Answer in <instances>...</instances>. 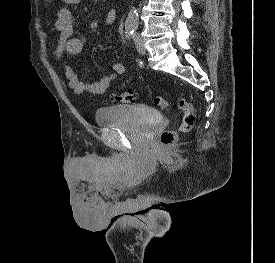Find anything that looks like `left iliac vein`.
<instances>
[{"label":"left iliac vein","instance_id":"1","mask_svg":"<svg viewBox=\"0 0 275 263\" xmlns=\"http://www.w3.org/2000/svg\"><path fill=\"white\" fill-rule=\"evenodd\" d=\"M135 45L138 53L145 54L146 50H145L144 44L138 35L135 36Z\"/></svg>","mask_w":275,"mask_h":263}]
</instances>
